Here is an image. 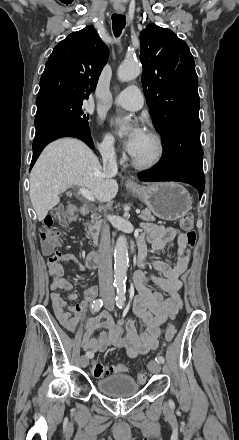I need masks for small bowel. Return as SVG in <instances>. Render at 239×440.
Wrapping results in <instances>:
<instances>
[{
	"instance_id": "1",
	"label": "small bowel",
	"mask_w": 239,
	"mask_h": 440,
	"mask_svg": "<svg viewBox=\"0 0 239 440\" xmlns=\"http://www.w3.org/2000/svg\"><path fill=\"white\" fill-rule=\"evenodd\" d=\"M144 232L138 240L140 270L133 276L134 285L138 291L133 302V310L142 321L143 328L135 320L126 322V334L123 330V321L115 322L109 312H103L96 317L85 315V304L71 305L76 300L77 294L72 291L70 282L64 278L62 263L72 261L79 270L83 265L71 253L53 251L48 258L49 274L52 278L50 289L55 314L70 332H75L79 327L83 329L82 348L86 352L95 354L108 347L124 349L130 358L158 348L160 326L174 320L181 308L180 289L181 276L186 271L190 261V246L186 234L180 233L173 227H166L147 223L143 226ZM177 239L175 263L169 265L161 260L150 262L152 267L161 276L148 272L147 244L155 251L163 249L168 243ZM155 283L165 293L151 290L147 284ZM66 292V295L64 293ZM86 298L93 296V289H86ZM71 313L74 315L72 316ZM98 332L97 337L94 335Z\"/></svg>"
}]
</instances>
